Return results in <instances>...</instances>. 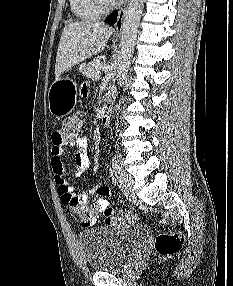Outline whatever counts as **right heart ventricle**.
<instances>
[{"label": "right heart ventricle", "mask_w": 233, "mask_h": 286, "mask_svg": "<svg viewBox=\"0 0 233 286\" xmlns=\"http://www.w3.org/2000/svg\"><path fill=\"white\" fill-rule=\"evenodd\" d=\"M74 15L82 21H91L101 15L94 0H69Z\"/></svg>", "instance_id": "obj_1"}]
</instances>
